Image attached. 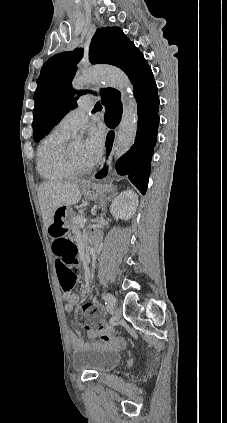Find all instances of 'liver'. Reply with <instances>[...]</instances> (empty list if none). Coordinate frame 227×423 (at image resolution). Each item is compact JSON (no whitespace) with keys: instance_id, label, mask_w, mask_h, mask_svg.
Returning a JSON list of instances; mask_svg holds the SVG:
<instances>
[{"instance_id":"liver-1","label":"liver","mask_w":227,"mask_h":423,"mask_svg":"<svg viewBox=\"0 0 227 423\" xmlns=\"http://www.w3.org/2000/svg\"><path fill=\"white\" fill-rule=\"evenodd\" d=\"M39 206L46 227L53 221V215L60 206H74L81 200L79 184L69 182H43L38 188Z\"/></svg>"}]
</instances>
